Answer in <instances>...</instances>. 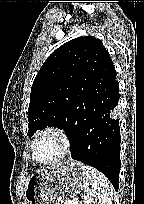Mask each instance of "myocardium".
<instances>
[{"mask_svg":"<svg viewBox=\"0 0 144 204\" xmlns=\"http://www.w3.org/2000/svg\"><path fill=\"white\" fill-rule=\"evenodd\" d=\"M47 134H54L57 137H59L63 145V150L61 154L53 160L40 161L37 159L36 153H35L36 144L42 136L47 135ZM72 146H73L72 138L70 134L64 128L59 127V126H49L41 130L34 138L32 145H31L32 158L36 163L40 165L56 164L64 160L71 153Z\"/></svg>","mask_w":144,"mask_h":204,"instance_id":"obj_1","label":"myocardium"}]
</instances>
